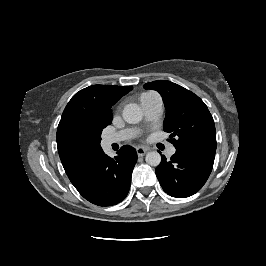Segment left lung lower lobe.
Returning a JSON list of instances; mask_svg holds the SVG:
<instances>
[{"label":"left lung lower lobe","mask_w":266,"mask_h":266,"mask_svg":"<svg viewBox=\"0 0 266 266\" xmlns=\"http://www.w3.org/2000/svg\"><path fill=\"white\" fill-rule=\"evenodd\" d=\"M215 151L176 150L170 160L162 155L156 176L163 190L172 197L185 198L198 192L207 181Z\"/></svg>","instance_id":"left-lung-lower-lobe-1"}]
</instances>
